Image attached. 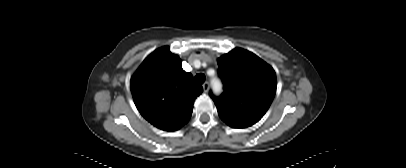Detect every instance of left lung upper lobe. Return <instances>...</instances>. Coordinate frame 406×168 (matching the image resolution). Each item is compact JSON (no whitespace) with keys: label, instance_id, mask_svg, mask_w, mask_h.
Returning a JSON list of instances; mask_svg holds the SVG:
<instances>
[{"label":"left lung upper lobe","instance_id":"1","mask_svg":"<svg viewBox=\"0 0 406 168\" xmlns=\"http://www.w3.org/2000/svg\"><path fill=\"white\" fill-rule=\"evenodd\" d=\"M218 72L224 92L220 97L210 96L219 116L250 124L259 121L276 92L273 68L255 54L235 48L218 58Z\"/></svg>","mask_w":406,"mask_h":168}]
</instances>
